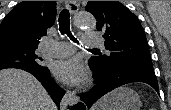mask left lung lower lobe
I'll return each instance as SVG.
<instances>
[{
    "mask_svg": "<svg viewBox=\"0 0 171 110\" xmlns=\"http://www.w3.org/2000/svg\"><path fill=\"white\" fill-rule=\"evenodd\" d=\"M95 86L81 95V100L90 108L100 97L111 90L132 82H143L152 86L159 94L157 79L153 67L145 66H114L104 70H94Z\"/></svg>",
    "mask_w": 171,
    "mask_h": 110,
    "instance_id": "1",
    "label": "left lung lower lobe"
}]
</instances>
